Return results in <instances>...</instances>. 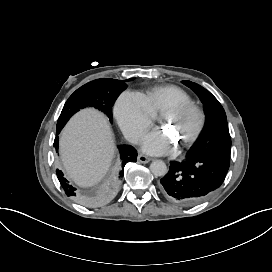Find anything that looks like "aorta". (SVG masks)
Instances as JSON below:
<instances>
[{
  "instance_id": "762f6f07",
  "label": "aorta",
  "mask_w": 272,
  "mask_h": 272,
  "mask_svg": "<svg viewBox=\"0 0 272 272\" xmlns=\"http://www.w3.org/2000/svg\"><path fill=\"white\" fill-rule=\"evenodd\" d=\"M150 171L153 175L163 177L167 174V166L162 160H156L151 163Z\"/></svg>"
}]
</instances>
